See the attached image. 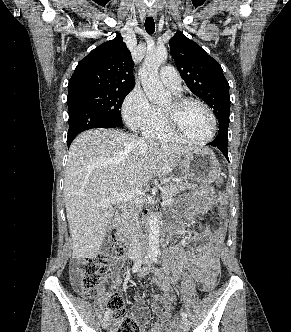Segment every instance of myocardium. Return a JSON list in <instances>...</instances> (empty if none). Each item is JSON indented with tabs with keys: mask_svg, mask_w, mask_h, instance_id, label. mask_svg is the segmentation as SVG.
<instances>
[{
	"mask_svg": "<svg viewBox=\"0 0 291 332\" xmlns=\"http://www.w3.org/2000/svg\"><path fill=\"white\" fill-rule=\"evenodd\" d=\"M194 103L201 106L209 115L211 119L212 129L208 137L204 139H194L187 134H185L179 126L178 122V111L185 105ZM173 109L171 111L162 110L164 120L166 122L168 130L177 138L183 140L184 142L203 145L214 139L217 133V119L213 110L202 100L189 97V96H178L173 99Z\"/></svg>",
	"mask_w": 291,
	"mask_h": 332,
	"instance_id": "obj_1",
	"label": "myocardium"
}]
</instances>
